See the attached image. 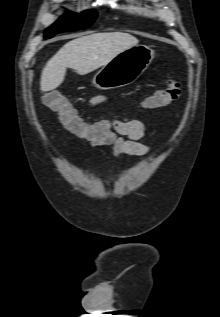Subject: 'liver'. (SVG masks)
Returning a JSON list of instances; mask_svg holds the SVG:
<instances>
[{"label":"liver","instance_id":"1","mask_svg":"<svg viewBox=\"0 0 220 317\" xmlns=\"http://www.w3.org/2000/svg\"><path fill=\"white\" fill-rule=\"evenodd\" d=\"M138 39L128 33H94L66 43L43 68L40 89L50 91L63 83L66 69L88 74L106 64L122 51L136 46Z\"/></svg>","mask_w":220,"mask_h":317}]
</instances>
